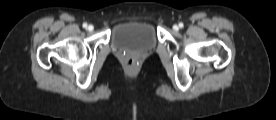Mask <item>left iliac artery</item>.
Listing matches in <instances>:
<instances>
[{"mask_svg": "<svg viewBox=\"0 0 276 120\" xmlns=\"http://www.w3.org/2000/svg\"><path fill=\"white\" fill-rule=\"evenodd\" d=\"M184 24L182 22L179 23V27L183 28Z\"/></svg>", "mask_w": 276, "mask_h": 120, "instance_id": "obj_1", "label": "left iliac artery"}]
</instances>
